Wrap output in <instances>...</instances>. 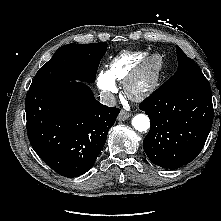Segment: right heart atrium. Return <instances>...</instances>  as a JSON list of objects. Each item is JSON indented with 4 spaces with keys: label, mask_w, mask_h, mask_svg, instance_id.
Returning <instances> with one entry per match:
<instances>
[{
    "label": "right heart atrium",
    "mask_w": 221,
    "mask_h": 221,
    "mask_svg": "<svg viewBox=\"0 0 221 221\" xmlns=\"http://www.w3.org/2000/svg\"><path fill=\"white\" fill-rule=\"evenodd\" d=\"M96 82L101 92L106 96H110L117 91L115 79L109 70L99 71L96 77Z\"/></svg>",
    "instance_id": "right-heart-atrium-1"
}]
</instances>
